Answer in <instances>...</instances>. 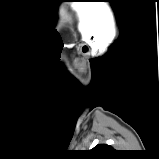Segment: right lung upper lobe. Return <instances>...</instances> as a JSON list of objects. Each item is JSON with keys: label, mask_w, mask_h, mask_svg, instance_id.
Instances as JSON below:
<instances>
[{"label": "right lung upper lobe", "mask_w": 159, "mask_h": 159, "mask_svg": "<svg viewBox=\"0 0 159 159\" xmlns=\"http://www.w3.org/2000/svg\"><path fill=\"white\" fill-rule=\"evenodd\" d=\"M114 149L106 144H99L97 146H95L91 151H93L94 153L98 154V155H103L105 153L108 152H112Z\"/></svg>", "instance_id": "1"}]
</instances>
